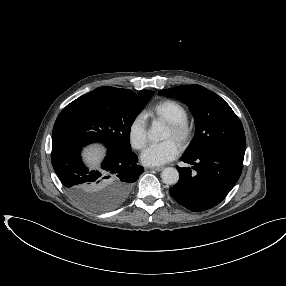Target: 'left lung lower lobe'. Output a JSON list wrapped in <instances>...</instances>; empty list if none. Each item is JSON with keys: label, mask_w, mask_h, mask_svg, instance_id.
Returning a JSON list of instances; mask_svg holds the SVG:
<instances>
[{"label": "left lung lower lobe", "mask_w": 286, "mask_h": 286, "mask_svg": "<svg viewBox=\"0 0 286 286\" xmlns=\"http://www.w3.org/2000/svg\"><path fill=\"white\" fill-rule=\"evenodd\" d=\"M244 153L228 149H214L194 156L184 155L182 161L190 168L177 166L180 178L170 190V195L191 211H204L219 204L238 181Z\"/></svg>", "instance_id": "1"}]
</instances>
